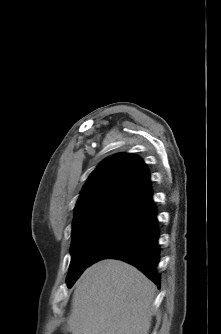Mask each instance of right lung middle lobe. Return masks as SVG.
Returning <instances> with one entry per match:
<instances>
[{
  "label": "right lung middle lobe",
  "instance_id": "right-lung-middle-lobe-1",
  "mask_svg": "<svg viewBox=\"0 0 221 334\" xmlns=\"http://www.w3.org/2000/svg\"><path fill=\"white\" fill-rule=\"evenodd\" d=\"M131 214H101L89 217L72 230L71 263L67 277L70 288L91 264L106 259L143 223Z\"/></svg>",
  "mask_w": 221,
  "mask_h": 334
}]
</instances>
